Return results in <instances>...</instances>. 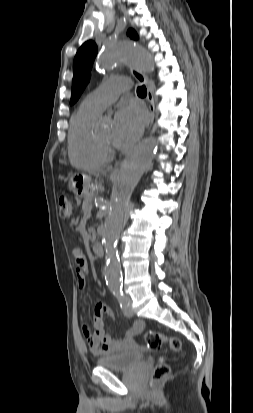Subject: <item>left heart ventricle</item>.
<instances>
[{
  "label": "left heart ventricle",
  "instance_id": "obj_1",
  "mask_svg": "<svg viewBox=\"0 0 253 413\" xmlns=\"http://www.w3.org/2000/svg\"><path fill=\"white\" fill-rule=\"evenodd\" d=\"M98 137L107 143H111L113 132L110 128L103 129L97 133Z\"/></svg>",
  "mask_w": 253,
  "mask_h": 413
}]
</instances>
